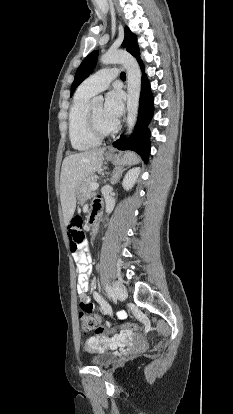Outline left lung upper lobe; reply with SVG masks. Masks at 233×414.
<instances>
[{
  "label": "left lung upper lobe",
  "instance_id": "left-lung-upper-lobe-1",
  "mask_svg": "<svg viewBox=\"0 0 233 414\" xmlns=\"http://www.w3.org/2000/svg\"><path fill=\"white\" fill-rule=\"evenodd\" d=\"M124 47L127 48V51L132 54L134 57L137 58L138 61H140L139 56V48L137 45L136 36L129 30L128 27L125 28V39L122 44ZM98 52L94 51L90 53L81 63L79 68L77 69V72L75 74L74 81L71 86V96L74 93L76 87L84 80L86 79L94 70L96 61H97Z\"/></svg>",
  "mask_w": 233,
  "mask_h": 414
}]
</instances>
